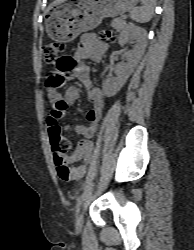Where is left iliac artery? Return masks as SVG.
<instances>
[{
  "instance_id": "1",
  "label": "left iliac artery",
  "mask_w": 194,
  "mask_h": 250,
  "mask_svg": "<svg viewBox=\"0 0 194 250\" xmlns=\"http://www.w3.org/2000/svg\"><path fill=\"white\" fill-rule=\"evenodd\" d=\"M82 198H83V195L79 196L77 198V204H76V215L78 214L79 210H80V207H81V204H82Z\"/></svg>"
}]
</instances>
